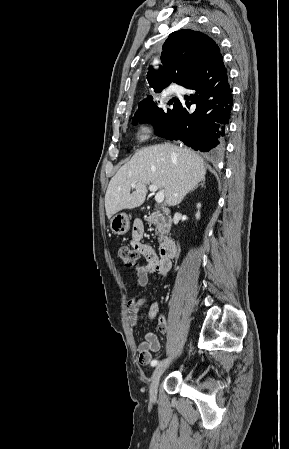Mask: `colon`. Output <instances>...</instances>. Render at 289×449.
Masks as SVG:
<instances>
[{
    "mask_svg": "<svg viewBox=\"0 0 289 449\" xmlns=\"http://www.w3.org/2000/svg\"><path fill=\"white\" fill-rule=\"evenodd\" d=\"M118 256L125 266H139L140 253L133 246H120L118 249Z\"/></svg>",
    "mask_w": 289,
    "mask_h": 449,
    "instance_id": "obj_1",
    "label": "colon"
}]
</instances>
